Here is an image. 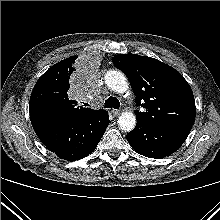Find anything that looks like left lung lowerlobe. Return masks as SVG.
I'll use <instances>...</instances> for the list:
<instances>
[{
	"instance_id": "1",
	"label": "left lung lower lobe",
	"mask_w": 220,
	"mask_h": 220,
	"mask_svg": "<svg viewBox=\"0 0 220 220\" xmlns=\"http://www.w3.org/2000/svg\"><path fill=\"white\" fill-rule=\"evenodd\" d=\"M192 125L182 122L152 124L137 120L136 127L126 138L139 154L161 159L175 152L188 137Z\"/></svg>"
}]
</instances>
